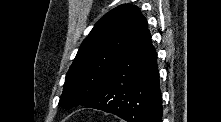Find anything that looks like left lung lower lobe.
Here are the masks:
<instances>
[{
  "label": "left lung lower lobe",
  "instance_id": "0a47b994",
  "mask_svg": "<svg viewBox=\"0 0 221 122\" xmlns=\"http://www.w3.org/2000/svg\"><path fill=\"white\" fill-rule=\"evenodd\" d=\"M84 107L113 113L127 122H161L157 54L140 12L122 55Z\"/></svg>",
  "mask_w": 221,
  "mask_h": 122
}]
</instances>
